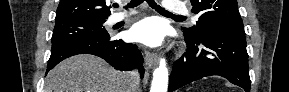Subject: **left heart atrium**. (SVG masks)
I'll use <instances>...</instances> for the list:
<instances>
[{
    "label": "left heart atrium",
    "mask_w": 289,
    "mask_h": 92,
    "mask_svg": "<svg viewBox=\"0 0 289 92\" xmlns=\"http://www.w3.org/2000/svg\"><path fill=\"white\" fill-rule=\"evenodd\" d=\"M129 37L132 41L150 47H157L164 41L165 27L159 19L148 17L136 22L131 27Z\"/></svg>",
    "instance_id": "1"
}]
</instances>
